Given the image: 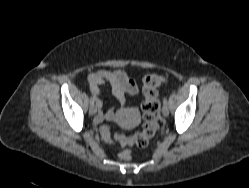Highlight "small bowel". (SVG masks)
I'll return each instance as SVG.
<instances>
[{
  "label": "small bowel",
  "mask_w": 249,
  "mask_h": 188,
  "mask_svg": "<svg viewBox=\"0 0 249 188\" xmlns=\"http://www.w3.org/2000/svg\"><path fill=\"white\" fill-rule=\"evenodd\" d=\"M106 82L111 85L112 93L121 106L125 104L126 95L136 96L138 94V87L135 80L124 70L100 69L90 73L87 78L89 90L94 96L101 95L102 87ZM96 106L99 110L95 119L97 123L113 121L115 119L114 110H104L103 102L100 99L96 100Z\"/></svg>",
  "instance_id": "1"
}]
</instances>
